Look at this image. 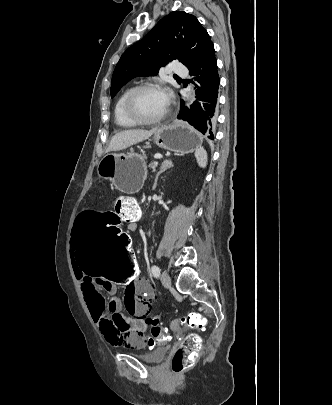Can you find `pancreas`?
<instances>
[{
	"mask_svg": "<svg viewBox=\"0 0 332 405\" xmlns=\"http://www.w3.org/2000/svg\"><path fill=\"white\" fill-rule=\"evenodd\" d=\"M148 166L154 169V168L157 166V164H156L155 162H152V163L149 164Z\"/></svg>",
	"mask_w": 332,
	"mask_h": 405,
	"instance_id": "cf45deb5",
	"label": "pancreas"
}]
</instances>
